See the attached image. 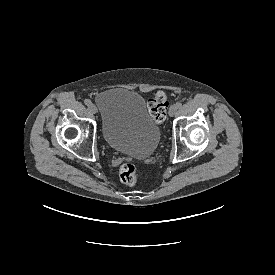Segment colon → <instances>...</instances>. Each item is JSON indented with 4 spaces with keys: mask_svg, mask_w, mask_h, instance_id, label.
I'll use <instances>...</instances> for the list:
<instances>
[{
    "mask_svg": "<svg viewBox=\"0 0 275 275\" xmlns=\"http://www.w3.org/2000/svg\"><path fill=\"white\" fill-rule=\"evenodd\" d=\"M148 111L153 120L160 124L166 118L168 108L167 96L164 92H158L148 102ZM120 180L126 185H136L140 177V171L134 163H124L119 169Z\"/></svg>",
    "mask_w": 275,
    "mask_h": 275,
    "instance_id": "obj_1",
    "label": "colon"
}]
</instances>
